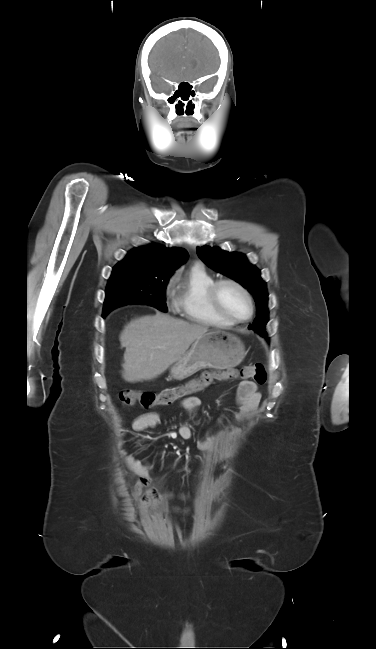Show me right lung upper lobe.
<instances>
[{
    "label": "right lung upper lobe",
    "instance_id": "right-lung-upper-lobe-1",
    "mask_svg": "<svg viewBox=\"0 0 376 649\" xmlns=\"http://www.w3.org/2000/svg\"><path fill=\"white\" fill-rule=\"evenodd\" d=\"M188 252L181 248H166L162 245H149L134 248L124 261L136 263L145 271L152 274L168 273L177 269L185 262Z\"/></svg>",
    "mask_w": 376,
    "mask_h": 649
}]
</instances>
